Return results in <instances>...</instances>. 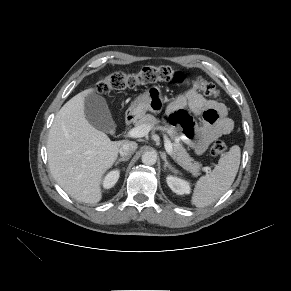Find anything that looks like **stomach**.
<instances>
[{"label":"stomach","instance_id":"stomach-1","mask_svg":"<svg viewBox=\"0 0 291 291\" xmlns=\"http://www.w3.org/2000/svg\"><path fill=\"white\" fill-rule=\"evenodd\" d=\"M164 104V98L158 86L148 88L139 95L130 105L129 114L141 118L147 111L159 113Z\"/></svg>","mask_w":291,"mask_h":291}]
</instances>
